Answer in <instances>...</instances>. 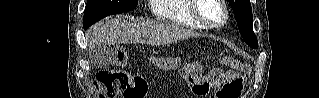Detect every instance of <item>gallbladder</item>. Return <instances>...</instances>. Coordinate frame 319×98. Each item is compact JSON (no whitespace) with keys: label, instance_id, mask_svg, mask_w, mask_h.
I'll return each mask as SVG.
<instances>
[{"label":"gallbladder","instance_id":"1","mask_svg":"<svg viewBox=\"0 0 319 98\" xmlns=\"http://www.w3.org/2000/svg\"><path fill=\"white\" fill-rule=\"evenodd\" d=\"M91 63L95 68H104L113 61V48L109 45H99L91 50Z\"/></svg>","mask_w":319,"mask_h":98}]
</instances>
